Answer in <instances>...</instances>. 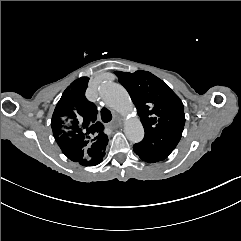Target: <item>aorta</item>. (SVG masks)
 <instances>
[{"label": "aorta", "mask_w": 241, "mask_h": 241, "mask_svg": "<svg viewBox=\"0 0 241 241\" xmlns=\"http://www.w3.org/2000/svg\"><path fill=\"white\" fill-rule=\"evenodd\" d=\"M100 96L111 108L126 116L133 111V103L123 86L117 83H107L99 89ZM125 135L129 141L138 143L144 137V128L137 118H130L124 124Z\"/></svg>", "instance_id": "762f6f07"}]
</instances>
